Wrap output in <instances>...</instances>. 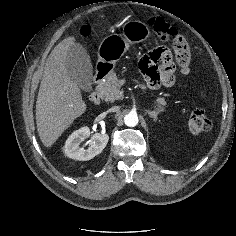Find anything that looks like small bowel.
Segmentation results:
<instances>
[{
    "instance_id": "c3829d8e",
    "label": "small bowel",
    "mask_w": 236,
    "mask_h": 236,
    "mask_svg": "<svg viewBox=\"0 0 236 236\" xmlns=\"http://www.w3.org/2000/svg\"><path fill=\"white\" fill-rule=\"evenodd\" d=\"M176 62L177 65L172 53L166 47H157L143 56L140 60V69L146 78L148 87L151 89L160 86L171 87L174 84L177 66L182 74H188L190 52L188 51L186 55L176 54Z\"/></svg>"
}]
</instances>
